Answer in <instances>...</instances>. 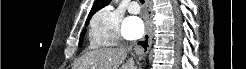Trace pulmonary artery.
Listing matches in <instances>:
<instances>
[{"label": "pulmonary artery", "mask_w": 246, "mask_h": 69, "mask_svg": "<svg viewBox=\"0 0 246 69\" xmlns=\"http://www.w3.org/2000/svg\"><path fill=\"white\" fill-rule=\"evenodd\" d=\"M128 11L132 14H136L139 12V7L136 2H131L128 6Z\"/></svg>", "instance_id": "1"}]
</instances>
